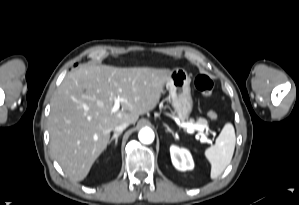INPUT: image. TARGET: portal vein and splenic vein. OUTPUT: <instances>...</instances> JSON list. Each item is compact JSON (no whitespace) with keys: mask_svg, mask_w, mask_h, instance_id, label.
<instances>
[{"mask_svg":"<svg viewBox=\"0 0 299 205\" xmlns=\"http://www.w3.org/2000/svg\"><path fill=\"white\" fill-rule=\"evenodd\" d=\"M123 101L124 100L122 98H114V105H113L112 111L113 112L118 111L120 108V103ZM181 127L186 128L189 133H192L194 130H197V131L204 130V126L198 125V124H193V123H182ZM200 141L201 142L207 141V138L203 136L200 138Z\"/></svg>","mask_w":299,"mask_h":205,"instance_id":"portal-vein-and-splenic-vein-1","label":"portal vein and splenic vein"}]
</instances>
